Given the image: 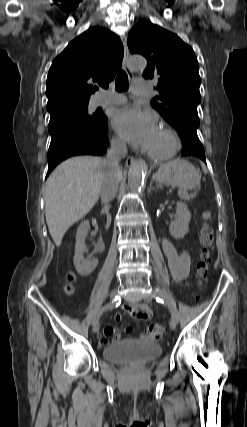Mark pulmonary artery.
<instances>
[{"label":"pulmonary artery","instance_id":"1","mask_svg":"<svg viewBox=\"0 0 247 427\" xmlns=\"http://www.w3.org/2000/svg\"><path fill=\"white\" fill-rule=\"evenodd\" d=\"M147 83L145 81H136L133 86V93L135 95H141L147 90ZM126 102L124 96L121 95H109L105 96L99 101V105L101 106H109V105H120Z\"/></svg>","mask_w":247,"mask_h":427}]
</instances>
